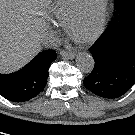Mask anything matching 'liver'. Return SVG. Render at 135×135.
Returning a JSON list of instances; mask_svg holds the SVG:
<instances>
[{
  "mask_svg": "<svg viewBox=\"0 0 135 135\" xmlns=\"http://www.w3.org/2000/svg\"><path fill=\"white\" fill-rule=\"evenodd\" d=\"M50 0H0V73L14 72L41 51Z\"/></svg>",
  "mask_w": 135,
  "mask_h": 135,
  "instance_id": "liver-1",
  "label": "liver"
}]
</instances>
